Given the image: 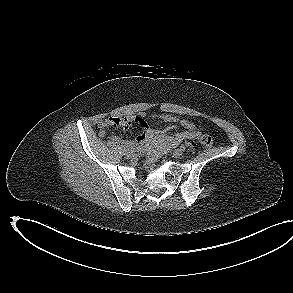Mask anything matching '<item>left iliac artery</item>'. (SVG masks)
Listing matches in <instances>:
<instances>
[{"label": "left iliac artery", "mask_w": 293, "mask_h": 293, "mask_svg": "<svg viewBox=\"0 0 293 293\" xmlns=\"http://www.w3.org/2000/svg\"><path fill=\"white\" fill-rule=\"evenodd\" d=\"M180 148L182 151H185V149H186L184 145H182Z\"/></svg>", "instance_id": "obj_1"}]
</instances>
